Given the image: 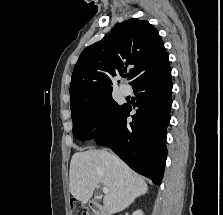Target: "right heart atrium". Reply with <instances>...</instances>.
I'll return each mask as SVG.
<instances>
[{"label": "right heart atrium", "mask_w": 223, "mask_h": 215, "mask_svg": "<svg viewBox=\"0 0 223 215\" xmlns=\"http://www.w3.org/2000/svg\"><path fill=\"white\" fill-rule=\"evenodd\" d=\"M104 123V116L102 113H96L90 120V129H100Z\"/></svg>", "instance_id": "1"}]
</instances>
